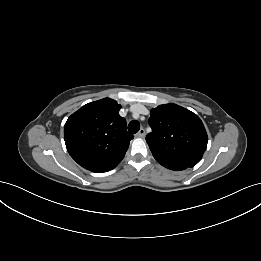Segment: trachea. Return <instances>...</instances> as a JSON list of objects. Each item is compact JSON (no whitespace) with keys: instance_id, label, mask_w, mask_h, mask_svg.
<instances>
[{"instance_id":"1","label":"trachea","mask_w":261,"mask_h":261,"mask_svg":"<svg viewBox=\"0 0 261 261\" xmlns=\"http://www.w3.org/2000/svg\"><path fill=\"white\" fill-rule=\"evenodd\" d=\"M140 129V123L138 121H131L128 125V130L131 133H137Z\"/></svg>"}]
</instances>
